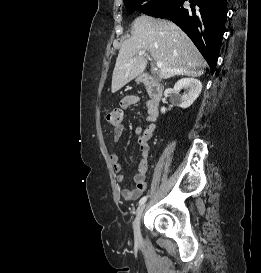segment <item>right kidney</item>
Segmentation results:
<instances>
[{
    "label": "right kidney",
    "mask_w": 261,
    "mask_h": 273,
    "mask_svg": "<svg viewBox=\"0 0 261 273\" xmlns=\"http://www.w3.org/2000/svg\"><path fill=\"white\" fill-rule=\"evenodd\" d=\"M181 89H187V93L184 94L182 97H176V101L179 107L186 109L190 107L194 101L199 97L202 84L199 80L194 78H183L177 81L174 85L173 91L174 93H178ZM166 108L162 107L161 112L165 113Z\"/></svg>",
    "instance_id": "right-kidney-1"
}]
</instances>
